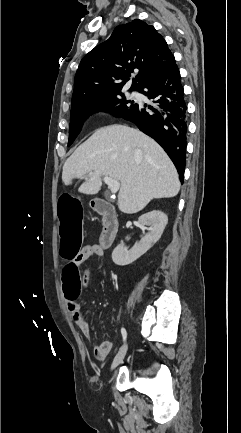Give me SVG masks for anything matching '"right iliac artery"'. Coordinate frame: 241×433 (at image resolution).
Segmentation results:
<instances>
[{"label":"right iliac artery","instance_id":"82829eb1","mask_svg":"<svg viewBox=\"0 0 241 433\" xmlns=\"http://www.w3.org/2000/svg\"><path fill=\"white\" fill-rule=\"evenodd\" d=\"M121 333H122V336H123V341H125L126 338H127V332H126L125 328H121Z\"/></svg>","mask_w":241,"mask_h":433}]
</instances>
